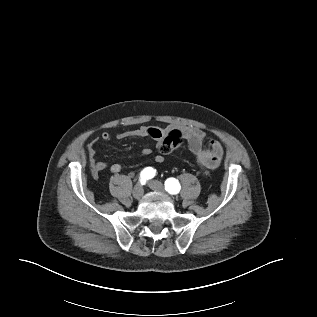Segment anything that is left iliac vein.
Listing matches in <instances>:
<instances>
[{"label":"left iliac vein","mask_w":317,"mask_h":317,"mask_svg":"<svg viewBox=\"0 0 317 317\" xmlns=\"http://www.w3.org/2000/svg\"><path fill=\"white\" fill-rule=\"evenodd\" d=\"M148 186L155 191L164 192V186L161 182L157 180H152L148 182Z\"/></svg>","instance_id":"left-iliac-vein-1"}]
</instances>
